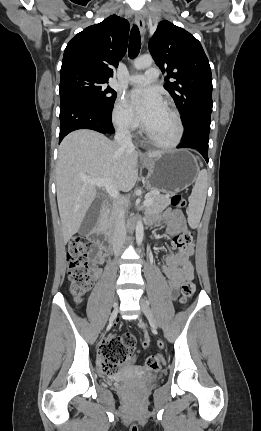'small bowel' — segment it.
<instances>
[{
    "mask_svg": "<svg viewBox=\"0 0 261 431\" xmlns=\"http://www.w3.org/2000/svg\"><path fill=\"white\" fill-rule=\"evenodd\" d=\"M162 221L168 224L171 230H180L185 227V219L183 214L177 210H166L160 218L149 217L147 218L148 223H153L154 221ZM90 262L94 275L99 277L101 275V270L98 269V265L104 264L106 262V255L97 248L90 249ZM187 253H191L188 249ZM164 275L169 279V289L170 295L176 297L178 295V289L181 283L194 275L193 265L189 261H184L183 263H178L177 260L172 255H167L165 258V264L162 267ZM144 347H149L148 337L145 336L143 343ZM147 364H145L146 366Z\"/></svg>",
    "mask_w": 261,
    "mask_h": 431,
    "instance_id": "1",
    "label": "small bowel"
}]
</instances>
